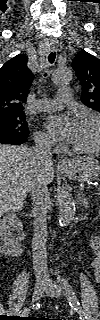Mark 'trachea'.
<instances>
[{
    "label": "trachea",
    "instance_id": "trachea-1",
    "mask_svg": "<svg viewBox=\"0 0 100 320\" xmlns=\"http://www.w3.org/2000/svg\"><path fill=\"white\" fill-rule=\"evenodd\" d=\"M56 58V53L55 52H51L48 56V61L49 63H53L55 61Z\"/></svg>",
    "mask_w": 100,
    "mask_h": 320
}]
</instances>
